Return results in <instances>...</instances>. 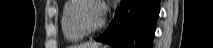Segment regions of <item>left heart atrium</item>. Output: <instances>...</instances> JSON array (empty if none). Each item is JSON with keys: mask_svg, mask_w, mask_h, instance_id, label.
I'll list each match as a JSON object with an SVG mask.
<instances>
[{"mask_svg": "<svg viewBox=\"0 0 213 48\" xmlns=\"http://www.w3.org/2000/svg\"><path fill=\"white\" fill-rule=\"evenodd\" d=\"M100 9H101V13L103 14V12H104V10H105L104 7L101 6Z\"/></svg>", "mask_w": 213, "mask_h": 48, "instance_id": "39dd6f15", "label": "left heart atrium"}]
</instances>
